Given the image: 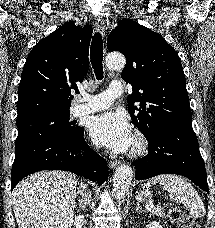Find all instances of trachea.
Listing matches in <instances>:
<instances>
[{
	"mask_svg": "<svg viewBox=\"0 0 215 228\" xmlns=\"http://www.w3.org/2000/svg\"><path fill=\"white\" fill-rule=\"evenodd\" d=\"M91 64L97 80L103 79V41L101 33H95L91 43Z\"/></svg>",
	"mask_w": 215,
	"mask_h": 228,
	"instance_id": "obj_1",
	"label": "trachea"
}]
</instances>
